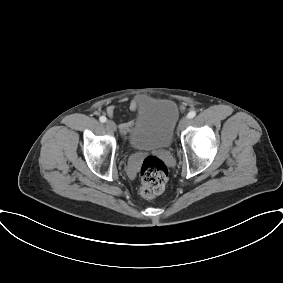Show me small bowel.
Returning <instances> with one entry per match:
<instances>
[{
    "mask_svg": "<svg viewBox=\"0 0 283 283\" xmlns=\"http://www.w3.org/2000/svg\"><path fill=\"white\" fill-rule=\"evenodd\" d=\"M145 102V99L138 97L133 98L129 101V109L131 111L137 110L143 103ZM106 113L109 117H113L115 115V106L109 105L106 108ZM135 126V122L133 120L131 121H125L119 124V129L123 134H128Z\"/></svg>",
    "mask_w": 283,
    "mask_h": 283,
    "instance_id": "obj_1",
    "label": "small bowel"
}]
</instances>
